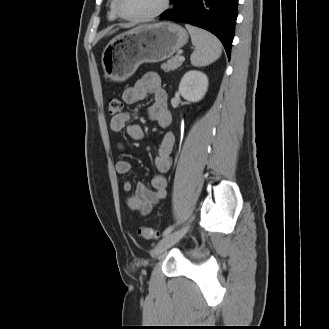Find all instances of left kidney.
Instances as JSON below:
<instances>
[{
	"label": "left kidney",
	"mask_w": 329,
	"mask_h": 329,
	"mask_svg": "<svg viewBox=\"0 0 329 329\" xmlns=\"http://www.w3.org/2000/svg\"><path fill=\"white\" fill-rule=\"evenodd\" d=\"M207 88V76L201 71L191 70L182 77L179 93L187 101L198 102L204 97Z\"/></svg>",
	"instance_id": "obj_1"
}]
</instances>
